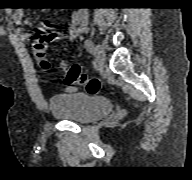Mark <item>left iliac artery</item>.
<instances>
[{
	"mask_svg": "<svg viewBox=\"0 0 192 180\" xmlns=\"http://www.w3.org/2000/svg\"><path fill=\"white\" fill-rule=\"evenodd\" d=\"M84 45H85V48L87 49V51H89L90 53L93 52L94 44L91 39H86L84 42Z\"/></svg>",
	"mask_w": 192,
	"mask_h": 180,
	"instance_id": "1",
	"label": "left iliac artery"
}]
</instances>
